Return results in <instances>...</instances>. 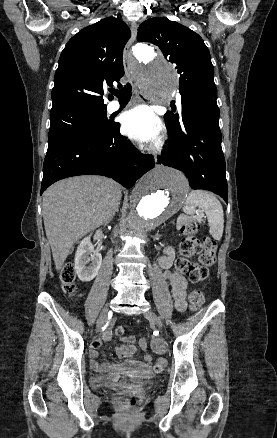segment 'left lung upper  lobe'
<instances>
[{
	"label": "left lung upper lobe",
	"mask_w": 277,
	"mask_h": 438,
	"mask_svg": "<svg viewBox=\"0 0 277 438\" xmlns=\"http://www.w3.org/2000/svg\"><path fill=\"white\" fill-rule=\"evenodd\" d=\"M137 40L157 45L166 59L176 64L182 107L205 98L217 99L210 53L197 33L167 18L154 17L139 26ZM179 118L171 111L164 115L169 132L177 130Z\"/></svg>",
	"instance_id": "5c2ea615"
}]
</instances>
